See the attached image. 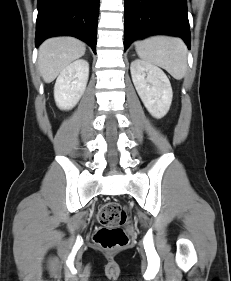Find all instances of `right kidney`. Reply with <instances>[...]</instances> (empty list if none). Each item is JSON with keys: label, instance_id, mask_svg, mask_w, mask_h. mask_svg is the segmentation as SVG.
I'll return each mask as SVG.
<instances>
[{"label": "right kidney", "instance_id": "right-kidney-1", "mask_svg": "<svg viewBox=\"0 0 231 281\" xmlns=\"http://www.w3.org/2000/svg\"><path fill=\"white\" fill-rule=\"evenodd\" d=\"M89 76V64L79 59L68 65L58 76L54 86L56 105L63 110L72 109L82 97Z\"/></svg>", "mask_w": 231, "mask_h": 281}]
</instances>
